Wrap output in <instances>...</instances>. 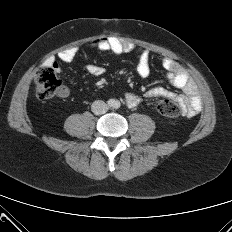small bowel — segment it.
<instances>
[{
    "label": "small bowel",
    "mask_w": 232,
    "mask_h": 232,
    "mask_svg": "<svg viewBox=\"0 0 232 232\" xmlns=\"http://www.w3.org/2000/svg\"><path fill=\"white\" fill-rule=\"evenodd\" d=\"M91 48H95L101 52L121 54L133 52L137 47L127 41L118 37L104 36L92 40L89 44ZM77 57V50L75 48H68L62 50L58 54V59L61 63H70ZM49 62L53 65L56 71H61L60 63L54 59ZM161 66L165 71L166 78L171 85L183 91V94H177L164 87L156 86L149 89L145 93L147 98H168L175 100L183 108L184 114L188 117L197 115L201 110V98L198 93L197 86L189 73L175 60L169 57H163ZM86 71L94 76H101L105 73V69L97 64L86 63ZM137 74L141 78H147L151 74L150 51L146 48L140 50L139 61L136 68ZM69 90L66 86H62L59 93L60 98L67 97ZM141 97L136 94H127L125 96V103L129 108L136 107L141 102Z\"/></svg>",
    "instance_id": "c3829d8e"
}]
</instances>
